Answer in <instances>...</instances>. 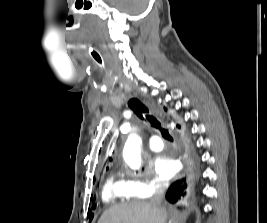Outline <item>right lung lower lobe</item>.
<instances>
[{
    "label": "right lung lower lobe",
    "mask_w": 267,
    "mask_h": 223,
    "mask_svg": "<svg viewBox=\"0 0 267 223\" xmlns=\"http://www.w3.org/2000/svg\"><path fill=\"white\" fill-rule=\"evenodd\" d=\"M194 178V173L191 172L182 179L174 182L167 191L166 198L168 201L175 203L179 197L186 194L187 184Z\"/></svg>",
    "instance_id": "right-lung-lower-lobe-1"
}]
</instances>
